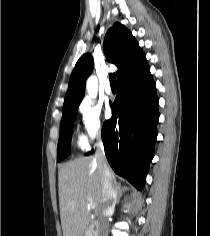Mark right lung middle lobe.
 I'll return each mask as SVG.
<instances>
[{
	"label": "right lung middle lobe",
	"instance_id": "1",
	"mask_svg": "<svg viewBox=\"0 0 210 236\" xmlns=\"http://www.w3.org/2000/svg\"><path fill=\"white\" fill-rule=\"evenodd\" d=\"M76 110L77 109L68 110L62 114L60 137L57 147V157L59 162L70 154V142Z\"/></svg>",
	"mask_w": 210,
	"mask_h": 236
}]
</instances>
